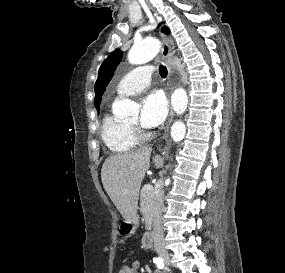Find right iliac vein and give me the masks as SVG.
I'll list each match as a JSON object with an SVG mask.
<instances>
[{"label": "right iliac vein", "mask_w": 285, "mask_h": 273, "mask_svg": "<svg viewBox=\"0 0 285 273\" xmlns=\"http://www.w3.org/2000/svg\"><path fill=\"white\" fill-rule=\"evenodd\" d=\"M160 257L164 260L165 263L170 264L171 258L167 253H160Z\"/></svg>", "instance_id": "1"}]
</instances>
